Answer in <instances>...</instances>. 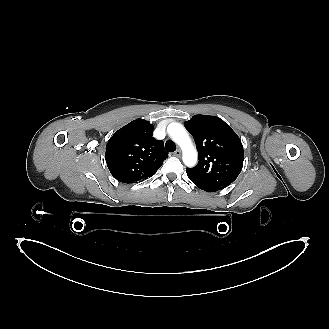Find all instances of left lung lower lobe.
Returning a JSON list of instances; mask_svg holds the SVG:
<instances>
[{"instance_id":"left-lung-lower-lobe-1","label":"left lung lower lobe","mask_w":329,"mask_h":329,"mask_svg":"<svg viewBox=\"0 0 329 329\" xmlns=\"http://www.w3.org/2000/svg\"><path fill=\"white\" fill-rule=\"evenodd\" d=\"M198 188H200V189H202V190H204V191H207V192H215V191H217V190H213V189H211V188H209V187H206V186H204V185H202V184H200V183H198V182H196V181H194V180H192V179H190Z\"/></svg>"}]
</instances>
